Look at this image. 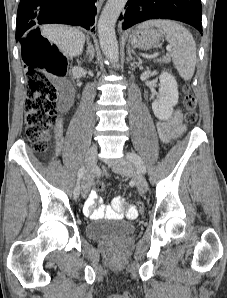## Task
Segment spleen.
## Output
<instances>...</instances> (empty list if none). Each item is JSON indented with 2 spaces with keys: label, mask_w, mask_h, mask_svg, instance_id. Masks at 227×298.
I'll return each instance as SVG.
<instances>
[{
  "label": "spleen",
  "mask_w": 227,
  "mask_h": 298,
  "mask_svg": "<svg viewBox=\"0 0 227 298\" xmlns=\"http://www.w3.org/2000/svg\"><path fill=\"white\" fill-rule=\"evenodd\" d=\"M155 26L166 33V39L173 48L171 57L179 75L190 80L196 65V43L192 34L182 25L170 20H150L139 27Z\"/></svg>",
  "instance_id": "1"
}]
</instances>
